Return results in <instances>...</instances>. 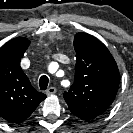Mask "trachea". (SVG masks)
Returning <instances> with one entry per match:
<instances>
[{"label": "trachea", "instance_id": "3493384b", "mask_svg": "<svg viewBox=\"0 0 133 133\" xmlns=\"http://www.w3.org/2000/svg\"><path fill=\"white\" fill-rule=\"evenodd\" d=\"M49 83V79L46 75H43L39 79V86L41 90H46Z\"/></svg>", "mask_w": 133, "mask_h": 133}]
</instances>
